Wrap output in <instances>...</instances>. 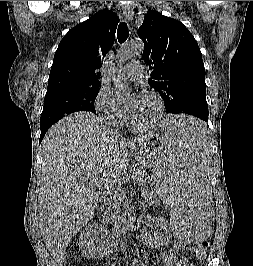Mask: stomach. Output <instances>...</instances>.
<instances>
[{
    "mask_svg": "<svg viewBox=\"0 0 253 266\" xmlns=\"http://www.w3.org/2000/svg\"><path fill=\"white\" fill-rule=\"evenodd\" d=\"M163 145V138L160 136L149 137L143 144L135 149V158L145 167H151L153 160H157L155 153Z\"/></svg>",
    "mask_w": 253,
    "mask_h": 266,
    "instance_id": "stomach-1",
    "label": "stomach"
}]
</instances>
